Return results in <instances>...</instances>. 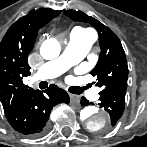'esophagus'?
<instances>
[{"mask_svg": "<svg viewBox=\"0 0 147 147\" xmlns=\"http://www.w3.org/2000/svg\"><path fill=\"white\" fill-rule=\"evenodd\" d=\"M70 100H71V102H73L75 104H79L80 97L78 95L70 94Z\"/></svg>", "mask_w": 147, "mask_h": 147, "instance_id": "34e87169", "label": "esophagus"}]
</instances>
